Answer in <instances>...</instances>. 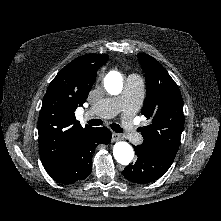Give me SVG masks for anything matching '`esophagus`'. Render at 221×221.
<instances>
[{
	"label": "esophagus",
	"instance_id": "34e87169",
	"mask_svg": "<svg viewBox=\"0 0 221 221\" xmlns=\"http://www.w3.org/2000/svg\"><path fill=\"white\" fill-rule=\"evenodd\" d=\"M122 139V135L116 132L112 134V142H116Z\"/></svg>",
	"mask_w": 221,
	"mask_h": 221
}]
</instances>
